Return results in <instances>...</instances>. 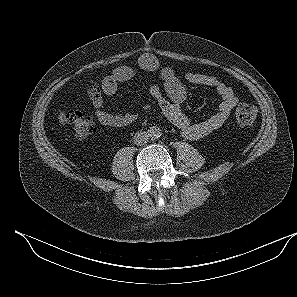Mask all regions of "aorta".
Listing matches in <instances>:
<instances>
[{"label": "aorta", "instance_id": "1", "mask_svg": "<svg viewBox=\"0 0 297 297\" xmlns=\"http://www.w3.org/2000/svg\"><path fill=\"white\" fill-rule=\"evenodd\" d=\"M148 134L151 139H157L161 136V131L159 128L153 126L148 130Z\"/></svg>", "mask_w": 297, "mask_h": 297}]
</instances>
